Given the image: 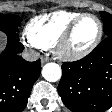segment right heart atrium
I'll return each mask as SVG.
<instances>
[{
	"mask_svg": "<svg viewBox=\"0 0 112 112\" xmlns=\"http://www.w3.org/2000/svg\"><path fill=\"white\" fill-rule=\"evenodd\" d=\"M23 39L25 40L26 44L28 46H30L31 48H36V49H40L41 47L36 43L34 42L28 35L27 31H25L23 33Z\"/></svg>",
	"mask_w": 112,
	"mask_h": 112,
	"instance_id": "d8ad5b80",
	"label": "right heart atrium"
}]
</instances>
